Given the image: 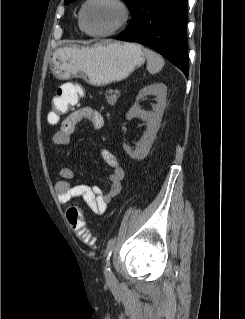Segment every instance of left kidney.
I'll return each instance as SVG.
<instances>
[{
  "instance_id": "1",
  "label": "left kidney",
  "mask_w": 245,
  "mask_h": 319,
  "mask_svg": "<svg viewBox=\"0 0 245 319\" xmlns=\"http://www.w3.org/2000/svg\"><path fill=\"white\" fill-rule=\"evenodd\" d=\"M147 95H155L157 104L153 111L142 110L137 103L140 99ZM167 87L163 83H154L141 89L136 97V103L130 108L126 114V119L131 120L140 117L147 122V130L136 144L135 150H132L126 143L123 148L126 153L133 159L142 160L150 151V148L156 137V133L160 128L161 118L166 107Z\"/></svg>"
}]
</instances>
